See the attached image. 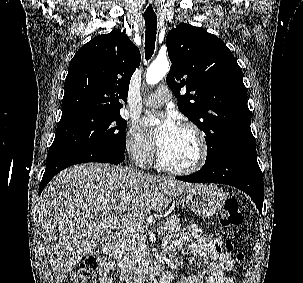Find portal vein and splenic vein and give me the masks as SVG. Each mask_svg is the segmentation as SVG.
Instances as JSON below:
<instances>
[{
  "label": "portal vein and splenic vein",
  "mask_w": 303,
  "mask_h": 283,
  "mask_svg": "<svg viewBox=\"0 0 303 283\" xmlns=\"http://www.w3.org/2000/svg\"><path fill=\"white\" fill-rule=\"evenodd\" d=\"M103 223H109V224H112V226H123L126 228H132V226H139L138 223L135 224L127 219H122L117 216H109L107 218H104ZM164 231H165L164 226L157 228L158 233H162Z\"/></svg>",
  "instance_id": "1"
}]
</instances>
